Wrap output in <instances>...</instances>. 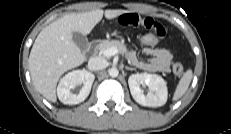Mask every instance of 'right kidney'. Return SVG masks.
I'll return each instance as SVG.
<instances>
[{"mask_svg":"<svg viewBox=\"0 0 231 134\" xmlns=\"http://www.w3.org/2000/svg\"><path fill=\"white\" fill-rule=\"evenodd\" d=\"M95 76L86 70H74L67 73L61 78L58 87L57 95L59 100L63 104H79L83 102L91 91L92 84ZM83 84L82 89L78 94H73L71 89H74L77 85Z\"/></svg>","mask_w":231,"mask_h":134,"instance_id":"obj_1","label":"right kidney"}]
</instances>
